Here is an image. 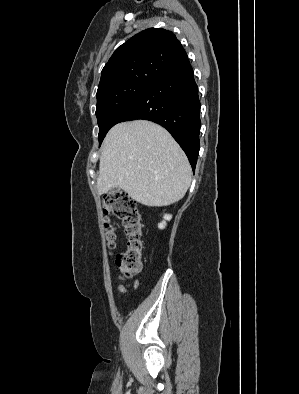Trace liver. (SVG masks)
<instances>
[{
    "label": "liver",
    "instance_id": "6515ba94",
    "mask_svg": "<svg viewBox=\"0 0 299 394\" xmlns=\"http://www.w3.org/2000/svg\"><path fill=\"white\" fill-rule=\"evenodd\" d=\"M188 158L163 127L146 120L113 126L103 144L98 193L123 189L147 206H167L183 198L191 183Z\"/></svg>",
    "mask_w": 299,
    "mask_h": 394
}]
</instances>
